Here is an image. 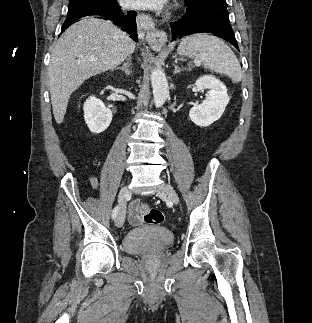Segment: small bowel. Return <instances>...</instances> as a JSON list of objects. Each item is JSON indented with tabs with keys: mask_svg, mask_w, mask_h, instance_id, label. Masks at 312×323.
<instances>
[{
	"mask_svg": "<svg viewBox=\"0 0 312 323\" xmlns=\"http://www.w3.org/2000/svg\"><path fill=\"white\" fill-rule=\"evenodd\" d=\"M90 184L94 189L98 188V180L96 177L91 176L89 178ZM139 202L138 200L134 199L129 204V211H128V221L133 226H139L142 223V218L139 214L138 210Z\"/></svg>",
	"mask_w": 312,
	"mask_h": 323,
	"instance_id": "1",
	"label": "small bowel"
}]
</instances>
